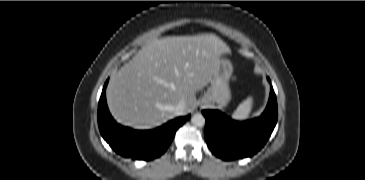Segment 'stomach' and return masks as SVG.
<instances>
[{
  "label": "stomach",
  "mask_w": 365,
  "mask_h": 180,
  "mask_svg": "<svg viewBox=\"0 0 365 180\" xmlns=\"http://www.w3.org/2000/svg\"><path fill=\"white\" fill-rule=\"evenodd\" d=\"M233 73L232 63L225 58H219L210 85L202 100L206 103H216L224 108L231 99L229 80Z\"/></svg>",
  "instance_id": "stomach-1"
}]
</instances>
